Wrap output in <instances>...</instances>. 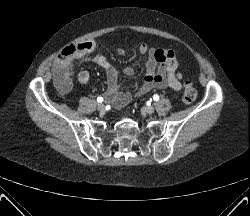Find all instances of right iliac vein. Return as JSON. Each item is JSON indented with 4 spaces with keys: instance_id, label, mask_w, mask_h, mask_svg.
<instances>
[{
    "instance_id": "63e3f726",
    "label": "right iliac vein",
    "mask_w": 250,
    "mask_h": 216,
    "mask_svg": "<svg viewBox=\"0 0 250 216\" xmlns=\"http://www.w3.org/2000/svg\"><path fill=\"white\" fill-rule=\"evenodd\" d=\"M97 109L100 111V112H103L105 110V105L103 103H100L97 105Z\"/></svg>"
}]
</instances>
